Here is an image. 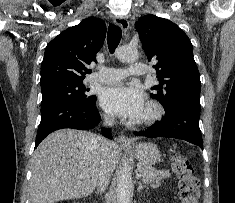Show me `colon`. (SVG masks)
<instances>
[{"label":"colon","instance_id":"1","mask_svg":"<svg viewBox=\"0 0 235 203\" xmlns=\"http://www.w3.org/2000/svg\"><path fill=\"white\" fill-rule=\"evenodd\" d=\"M172 170L179 183L181 203H198L200 198L199 181L194 175L189 160L179 152L171 155Z\"/></svg>","mask_w":235,"mask_h":203}]
</instances>
